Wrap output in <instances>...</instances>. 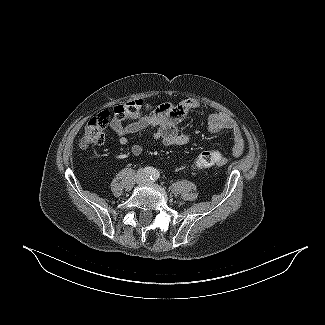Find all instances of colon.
<instances>
[{"mask_svg": "<svg viewBox=\"0 0 325 325\" xmlns=\"http://www.w3.org/2000/svg\"><path fill=\"white\" fill-rule=\"evenodd\" d=\"M142 102L137 100L126 104H121L113 109V118L124 120L128 117L140 114ZM111 119V113L104 111L91 118L81 136L80 147L89 148L104 143L107 135V127ZM221 154L214 149L202 151L193 162V170H200L221 163Z\"/></svg>", "mask_w": 325, "mask_h": 325, "instance_id": "obj_1", "label": "colon"}]
</instances>
